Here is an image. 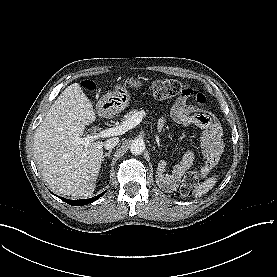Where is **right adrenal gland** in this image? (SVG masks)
Masks as SVG:
<instances>
[{"label":"right adrenal gland","mask_w":277,"mask_h":277,"mask_svg":"<svg viewBox=\"0 0 277 277\" xmlns=\"http://www.w3.org/2000/svg\"><path fill=\"white\" fill-rule=\"evenodd\" d=\"M111 152H112V150H109L108 152L104 153V155L102 156V162H104L105 157L110 158Z\"/></svg>","instance_id":"obj_1"}]
</instances>
